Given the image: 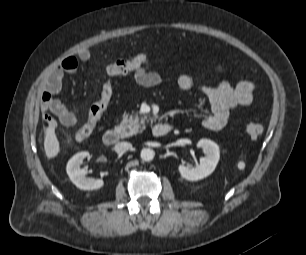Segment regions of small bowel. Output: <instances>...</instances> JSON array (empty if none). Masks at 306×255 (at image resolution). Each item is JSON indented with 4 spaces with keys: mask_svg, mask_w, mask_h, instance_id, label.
<instances>
[{
    "mask_svg": "<svg viewBox=\"0 0 306 255\" xmlns=\"http://www.w3.org/2000/svg\"><path fill=\"white\" fill-rule=\"evenodd\" d=\"M90 58V51L81 49L76 56L64 58L45 78L41 96V114L42 119L50 127L56 126V120L51 114L55 115L64 126H73L76 123L75 113L53 96L60 91L64 76L74 73L79 61H88ZM152 66V62L148 61L145 66L133 71L134 80L138 85L154 87L164 81V77L152 70ZM218 71L222 72L223 69L219 67ZM177 85L184 92L196 87L193 77L187 73L177 77ZM197 89L211 105L210 114L202 120V125L206 129L218 131L227 125L232 111L238 107L251 105L255 85L251 81L243 80L233 86L223 80L213 86L200 85Z\"/></svg>",
    "mask_w": 306,
    "mask_h": 255,
    "instance_id": "1",
    "label": "small bowel"
}]
</instances>
